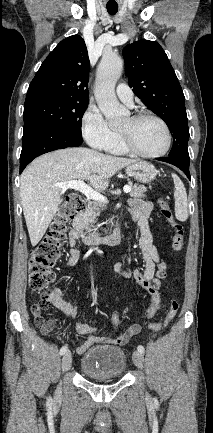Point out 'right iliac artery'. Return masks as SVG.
<instances>
[{
  "mask_svg": "<svg viewBox=\"0 0 213 433\" xmlns=\"http://www.w3.org/2000/svg\"><path fill=\"white\" fill-rule=\"evenodd\" d=\"M67 351H68V346L67 345L62 346V348L60 349V355L65 354ZM47 403H48V405L51 404V399L50 398L48 399Z\"/></svg>",
  "mask_w": 213,
  "mask_h": 433,
  "instance_id": "82829eb1",
  "label": "right iliac artery"
}]
</instances>
